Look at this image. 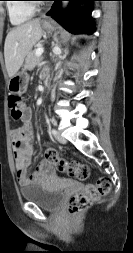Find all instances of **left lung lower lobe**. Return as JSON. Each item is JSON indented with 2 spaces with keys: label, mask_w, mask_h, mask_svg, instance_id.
I'll use <instances>...</instances> for the list:
<instances>
[{
  "label": "left lung lower lobe",
  "mask_w": 133,
  "mask_h": 253,
  "mask_svg": "<svg viewBox=\"0 0 133 253\" xmlns=\"http://www.w3.org/2000/svg\"><path fill=\"white\" fill-rule=\"evenodd\" d=\"M54 4L49 11V15L58 21L63 27L72 33H87L93 34L94 26L90 17L89 6L79 8L82 2L89 3L97 0H53ZM61 1H70L65 12H62L60 3Z\"/></svg>",
  "instance_id": "0a47b994"
}]
</instances>
